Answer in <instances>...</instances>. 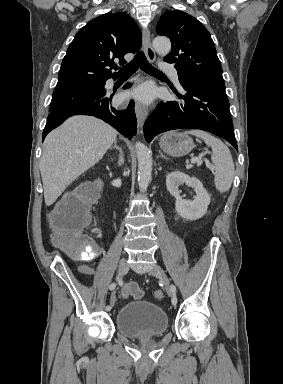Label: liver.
<instances>
[{"label": "liver", "mask_w": 283, "mask_h": 384, "mask_svg": "<svg viewBox=\"0 0 283 384\" xmlns=\"http://www.w3.org/2000/svg\"><path fill=\"white\" fill-rule=\"evenodd\" d=\"M117 134L92 116L68 118L48 134L39 164L46 206H52L74 180L102 160Z\"/></svg>", "instance_id": "liver-1"}]
</instances>
